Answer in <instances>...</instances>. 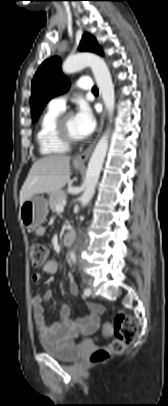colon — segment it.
<instances>
[{
    "label": "colon",
    "instance_id": "obj_1",
    "mask_svg": "<svg viewBox=\"0 0 168 406\" xmlns=\"http://www.w3.org/2000/svg\"><path fill=\"white\" fill-rule=\"evenodd\" d=\"M29 258L34 267H41L45 264L49 252L48 249L38 243L30 245ZM103 334L108 336L114 332V339L108 347L97 348L91 355L90 360L98 363L107 360L112 355L122 353L137 336L138 326L136 321L128 314L118 313L112 322L103 324Z\"/></svg>",
    "mask_w": 168,
    "mask_h": 406
}]
</instances>
